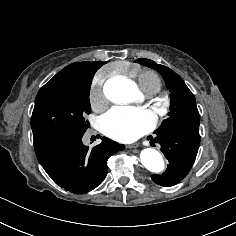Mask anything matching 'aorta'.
Masks as SVG:
<instances>
[{
  "instance_id": "762f6f07",
  "label": "aorta",
  "mask_w": 236,
  "mask_h": 236,
  "mask_svg": "<svg viewBox=\"0 0 236 236\" xmlns=\"http://www.w3.org/2000/svg\"><path fill=\"white\" fill-rule=\"evenodd\" d=\"M107 98L115 103H128L137 93L136 86L125 78L110 80L105 85ZM142 165L153 173H161L164 170L162 155L153 148H145L140 153Z\"/></svg>"
}]
</instances>
